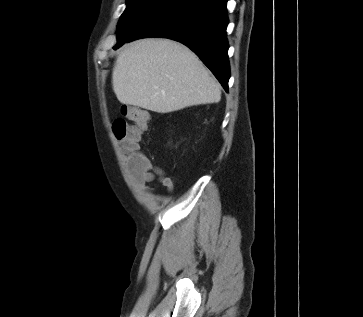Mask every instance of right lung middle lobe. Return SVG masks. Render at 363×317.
I'll return each instance as SVG.
<instances>
[{
  "mask_svg": "<svg viewBox=\"0 0 363 317\" xmlns=\"http://www.w3.org/2000/svg\"><path fill=\"white\" fill-rule=\"evenodd\" d=\"M180 0H127L117 27L118 43L131 38L146 22Z\"/></svg>",
  "mask_w": 363,
  "mask_h": 317,
  "instance_id": "right-lung-middle-lobe-1",
  "label": "right lung middle lobe"
}]
</instances>
